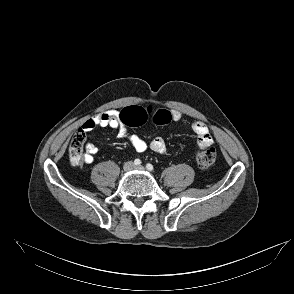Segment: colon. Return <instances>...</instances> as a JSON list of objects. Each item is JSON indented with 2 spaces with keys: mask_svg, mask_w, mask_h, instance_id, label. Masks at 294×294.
Here are the masks:
<instances>
[{
  "mask_svg": "<svg viewBox=\"0 0 294 294\" xmlns=\"http://www.w3.org/2000/svg\"><path fill=\"white\" fill-rule=\"evenodd\" d=\"M148 119H151L157 125H163L171 122L172 115L167 109L151 106H128L120 111V120L127 126L143 125ZM85 142V133L78 130L73 134L69 144V157L74 165L82 163L83 146ZM216 160V151L213 147H206L199 151L196 156V162L199 168L208 169Z\"/></svg>",
  "mask_w": 294,
  "mask_h": 294,
  "instance_id": "colon-1",
  "label": "colon"
}]
</instances>
